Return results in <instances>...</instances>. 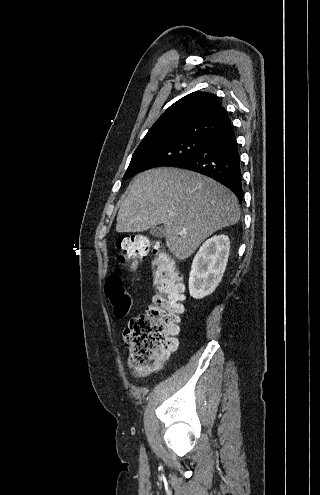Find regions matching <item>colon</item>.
<instances>
[{"instance_id": "5ec220e1", "label": "colon", "mask_w": 320, "mask_h": 495, "mask_svg": "<svg viewBox=\"0 0 320 495\" xmlns=\"http://www.w3.org/2000/svg\"><path fill=\"white\" fill-rule=\"evenodd\" d=\"M116 248L121 264L130 267L152 256L153 285L157 294L145 313L133 317L123 333L129 351V368L141 376L159 369L177 348L179 315L184 309L183 285L171 256L148 236L122 235L116 240ZM105 293L115 315L125 317L132 299L118 275L106 279Z\"/></svg>"}]
</instances>
